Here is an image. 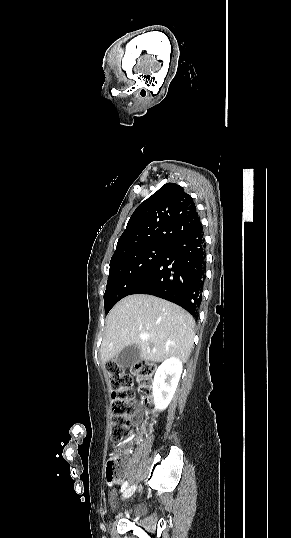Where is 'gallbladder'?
<instances>
[{
    "mask_svg": "<svg viewBox=\"0 0 291 538\" xmlns=\"http://www.w3.org/2000/svg\"><path fill=\"white\" fill-rule=\"evenodd\" d=\"M140 360V349L136 345L124 348L116 357L117 365L122 368H130Z\"/></svg>",
    "mask_w": 291,
    "mask_h": 538,
    "instance_id": "obj_1",
    "label": "gallbladder"
}]
</instances>
